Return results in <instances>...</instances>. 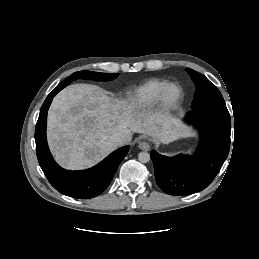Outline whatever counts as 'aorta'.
<instances>
[{"label": "aorta", "instance_id": "aorta-1", "mask_svg": "<svg viewBox=\"0 0 259 259\" xmlns=\"http://www.w3.org/2000/svg\"><path fill=\"white\" fill-rule=\"evenodd\" d=\"M138 160L142 163H147L150 160V155L148 152H140L138 154Z\"/></svg>", "mask_w": 259, "mask_h": 259}]
</instances>
